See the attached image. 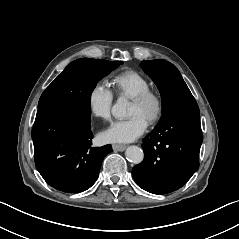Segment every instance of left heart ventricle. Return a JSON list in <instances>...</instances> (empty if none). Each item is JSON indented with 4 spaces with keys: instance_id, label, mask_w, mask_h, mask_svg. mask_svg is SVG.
Wrapping results in <instances>:
<instances>
[{
    "instance_id": "1",
    "label": "left heart ventricle",
    "mask_w": 239,
    "mask_h": 239,
    "mask_svg": "<svg viewBox=\"0 0 239 239\" xmlns=\"http://www.w3.org/2000/svg\"><path fill=\"white\" fill-rule=\"evenodd\" d=\"M152 109H153L152 104L140 105L131 100L130 107H129V115L132 116L134 114H139L148 121Z\"/></svg>"
}]
</instances>
